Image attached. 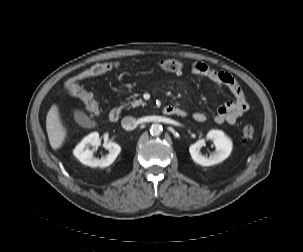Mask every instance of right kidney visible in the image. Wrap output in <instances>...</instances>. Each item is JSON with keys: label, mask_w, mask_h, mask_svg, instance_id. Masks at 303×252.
Wrapping results in <instances>:
<instances>
[{"label": "right kidney", "mask_w": 303, "mask_h": 252, "mask_svg": "<svg viewBox=\"0 0 303 252\" xmlns=\"http://www.w3.org/2000/svg\"><path fill=\"white\" fill-rule=\"evenodd\" d=\"M101 145V140L97 132L90 133L86 136L74 149V156L84 165L90 167H107L110 166L118 154L121 151V147L114 142H108L105 144V148L109 150L107 157H102L101 159L95 158L93 153L95 147ZM90 147H93L90 149Z\"/></svg>", "instance_id": "ca27d5eb"}]
</instances>
